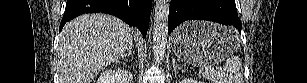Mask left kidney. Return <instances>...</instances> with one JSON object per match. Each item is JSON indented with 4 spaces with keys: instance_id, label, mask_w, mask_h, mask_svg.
Wrapping results in <instances>:
<instances>
[{
    "instance_id": "left-kidney-1",
    "label": "left kidney",
    "mask_w": 307,
    "mask_h": 83,
    "mask_svg": "<svg viewBox=\"0 0 307 83\" xmlns=\"http://www.w3.org/2000/svg\"><path fill=\"white\" fill-rule=\"evenodd\" d=\"M181 83H202V82L197 81V80H195V79H193V78H184V79L181 81Z\"/></svg>"
}]
</instances>
